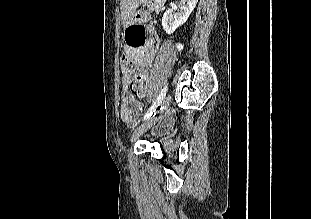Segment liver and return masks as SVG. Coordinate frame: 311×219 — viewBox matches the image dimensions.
<instances>
[{
  "label": "liver",
  "instance_id": "1",
  "mask_svg": "<svg viewBox=\"0 0 311 219\" xmlns=\"http://www.w3.org/2000/svg\"><path fill=\"white\" fill-rule=\"evenodd\" d=\"M133 1L134 0H121V17L123 20H127L135 10V6L132 5Z\"/></svg>",
  "mask_w": 311,
  "mask_h": 219
}]
</instances>
